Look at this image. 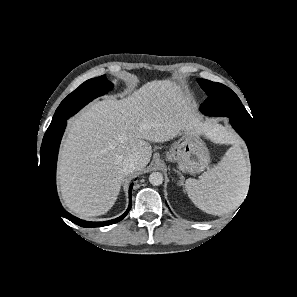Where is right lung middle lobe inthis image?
<instances>
[{
	"instance_id": "right-lung-middle-lobe-1",
	"label": "right lung middle lobe",
	"mask_w": 297,
	"mask_h": 297,
	"mask_svg": "<svg viewBox=\"0 0 297 297\" xmlns=\"http://www.w3.org/2000/svg\"><path fill=\"white\" fill-rule=\"evenodd\" d=\"M112 87V83L107 80L105 75L85 81L60 103L47 131H52L62 125L87 103L104 95Z\"/></svg>"
}]
</instances>
